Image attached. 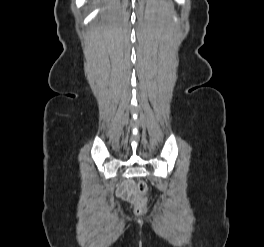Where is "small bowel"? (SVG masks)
<instances>
[{"label": "small bowel", "instance_id": "c3829d8e", "mask_svg": "<svg viewBox=\"0 0 264 247\" xmlns=\"http://www.w3.org/2000/svg\"><path fill=\"white\" fill-rule=\"evenodd\" d=\"M119 193L122 195H131L132 194V188L128 185V183H122L118 187Z\"/></svg>", "mask_w": 264, "mask_h": 247}]
</instances>
